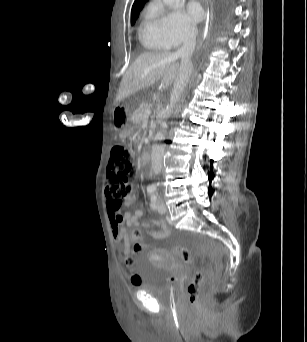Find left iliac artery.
I'll use <instances>...</instances> for the list:
<instances>
[{"instance_id": "1", "label": "left iliac artery", "mask_w": 307, "mask_h": 342, "mask_svg": "<svg viewBox=\"0 0 307 342\" xmlns=\"http://www.w3.org/2000/svg\"><path fill=\"white\" fill-rule=\"evenodd\" d=\"M154 188H155V187H154ZM155 191H156V188H155ZM155 191H154V192H155ZM156 199H157L156 194L153 193V194L151 195V207H152L153 209L156 208Z\"/></svg>"}]
</instances>
